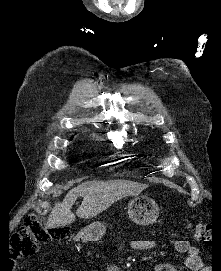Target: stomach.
Instances as JSON below:
<instances>
[{
	"instance_id": "obj_1",
	"label": "stomach",
	"mask_w": 221,
	"mask_h": 271,
	"mask_svg": "<svg viewBox=\"0 0 221 271\" xmlns=\"http://www.w3.org/2000/svg\"><path fill=\"white\" fill-rule=\"evenodd\" d=\"M157 207L158 202H154V197H134L128 203V213L135 223L150 225L160 213V208ZM105 231V225H102L100 221H93L86 230L75 233V238H89L91 241H97Z\"/></svg>"
}]
</instances>
